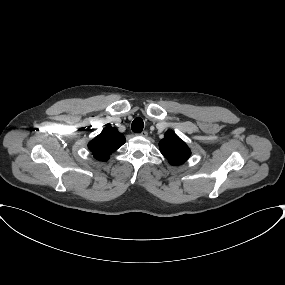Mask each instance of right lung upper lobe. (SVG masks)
Wrapping results in <instances>:
<instances>
[{
	"instance_id": "1",
	"label": "right lung upper lobe",
	"mask_w": 285,
	"mask_h": 285,
	"mask_svg": "<svg viewBox=\"0 0 285 285\" xmlns=\"http://www.w3.org/2000/svg\"><path fill=\"white\" fill-rule=\"evenodd\" d=\"M124 143V135L108 125L98 136L89 142L88 148L95 159L107 161L111 153L120 148Z\"/></svg>"
}]
</instances>
